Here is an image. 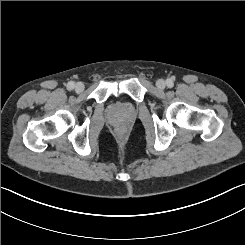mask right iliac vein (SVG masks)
Listing matches in <instances>:
<instances>
[{
	"label": "right iliac vein",
	"mask_w": 245,
	"mask_h": 245,
	"mask_svg": "<svg viewBox=\"0 0 245 245\" xmlns=\"http://www.w3.org/2000/svg\"><path fill=\"white\" fill-rule=\"evenodd\" d=\"M84 84L83 83H81V82H78L76 85H75V87H74V90H75V92H77V93H81V92H83L84 91Z\"/></svg>",
	"instance_id": "right-iliac-vein-1"
}]
</instances>
